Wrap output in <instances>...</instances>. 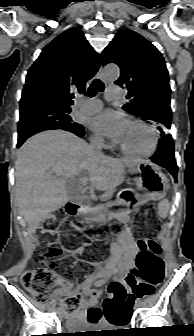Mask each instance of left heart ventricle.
I'll list each match as a JSON object with an SVG mask.
<instances>
[{"label":"left heart ventricle","instance_id":"obj_1","mask_svg":"<svg viewBox=\"0 0 194 336\" xmlns=\"http://www.w3.org/2000/svg\"><path fill=\"white\" fill-rule=\"evenodd\" d=\"M151 143L150 133L133 123H126L124 132L118 142V144L133 152L147 151L151 147Z\"/></svg>","mask_w":194,"mask_h":336}]
</instances>
